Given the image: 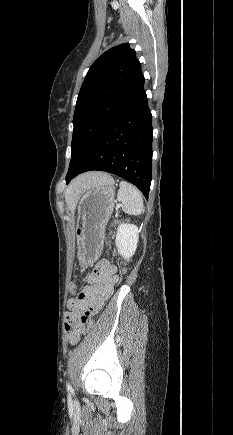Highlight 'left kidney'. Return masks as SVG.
<instances>
[{
  "mask_svg": "<svg viewBox=\"0 0 233 435\" xmlns=\"http://www.w3.org/2000/svg\"><path fill=\"white\" fill-rule=\"evenodd\" d=\"M138 227L134 224H120L117 229L115 244L118 253L124 259H129L135 254L139 239Z\"/></svg>",
  "mask_w": 233,
  "mask_h": 435,
  "instance_id": "1",
  "label": "left kidney"
}]
</instances>
